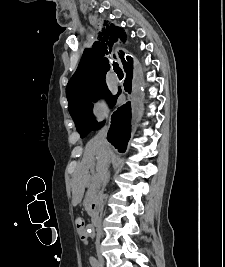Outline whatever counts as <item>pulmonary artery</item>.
<instances>
[{
  "instance_id": "obj_1",
  "label": "pulmonary artery",
  "mask_w": 225,
  "mask_h": 267,
  "mask_svg": "<svg viewBox=\"0 0 225 267\" xmlns=\"http://www.w3.org/2000/svg\"><path fill=\"white\" fill-rule=\"evenodd\" d=\"M111 81L113 83H118L119 82V78L114 72L111 73Z\"/></svg>"
}]
</instances>
